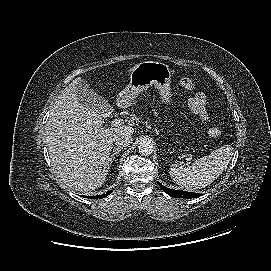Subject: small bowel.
Segmentation results:
<instances>
[{"label":"small bowel","mask_w":271,"mask_h":271,"mask_svg":"<svg viewBox=\"0 0 271 271\" xmlns=\"http://www.w3.org/2000/svg\"><path fill=\"white\" fill-rule=\"evenodd\" d=\"M190 110L202 120H207L210 116V110L208 109V100L203 93L195 94L189 100Z\"/></svg>","instance_id":"obj_1"}]
</instances>
